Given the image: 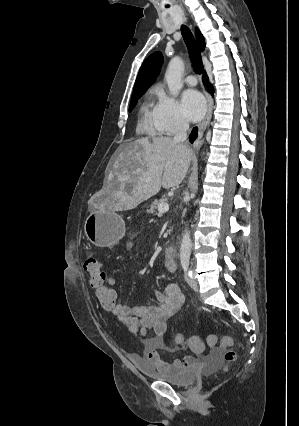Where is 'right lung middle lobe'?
Returning <instances> with one entry per match:
<instances>
[{
    "mask_svg": "<svg viewBox=\"0 0 299 426\" xmlns=\"http://www.w3.org/2000/svg\"><path fill=\"white\" fill-rule=\"evenodd\" d=\"M144 92L145 91H138V92H134L132 94V99H131L129 111H131L135 107V105L137 104V100L143 95Z\"/></svg>",
    "mask_w": 299,
    "mask_h": 426,
    "instance_id": "right-lung-middle-lobe-1",
    "label": "right lung middle lobe"
}]
</instances>
